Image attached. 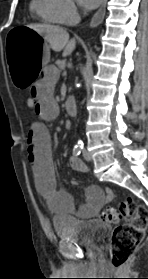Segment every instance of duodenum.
I'll list each match as a JSON object with an SVG mask.
<instances>
[{"label": "duodenum", "instance_id": "duodenum-1", "mask_svg": "<svg viewBox=\"0 0 148 279\" xmlns=\"http://www.w3.org/2000/svg\"><path fill=\"white\" fill-rule=\"evenodd\" d=\"M65 107L69 115L76 116L78 114L77 102L73 97H67Z\"/></svg>", "mask_w": 148, "mask_h": 279}]
</instances>
